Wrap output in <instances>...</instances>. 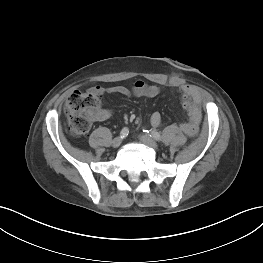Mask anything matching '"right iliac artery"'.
Segmentation results:
<instances>
[{
	"label": "right iliac artery",
	"instance_id": "right-iliac-artery-1",
	"mask_svg": "<svg viewBox=\"0 0 263 263\" xmlns=\"http://www.w3.org/2000/svg\"><path fill=\"white\" fill-rule=\"evenodd\" d=\"M129 134V129L127 127H124L122 130H121V133H120V136L121 138H125L127 137Z\"/></svg>",
	"mask_w": 263,
	"mask_h": 263
}]
</instances>
